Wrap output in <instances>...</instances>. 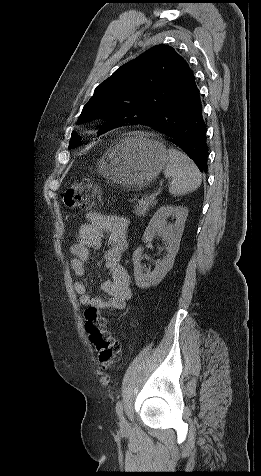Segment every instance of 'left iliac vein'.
<instances>
[{
	"instance_id": "1",
	"label": "left iliac vein",
	"mask_w": 261,
	"mask_h": 476,
	"mask_svg": "<svg viewBox=\"0 0 261 476\" xmlns=\"http://www.w3.org/2000/svg\"><path fill=\"white\" fill-rule=\"evenodd\" d=\"M121 425H122V426H126V425H127V422H126V420L124 419V417H121Z\"/></svg>"
}]
</instances>
